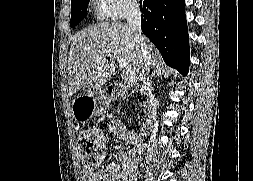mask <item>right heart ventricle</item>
Returning a JSON list of instances; mask_svg holds the SVG:
<instances>
[{"instance_id": "right-heart-ventricle-1", "label": "right heart ventricle", "mask_w": 253, "mask_h": 181, "mask_svg": "<svg viewBox=\"0 0 253 181\" xmlns=\"http://www.w3.org/2000/svg\"><path fill=\"white\" fill-rule=\"evenodd\" d=\"M90 3L96 19L106 20L109 17L103 0H91Z\"/></svg>"}]
</instances>
